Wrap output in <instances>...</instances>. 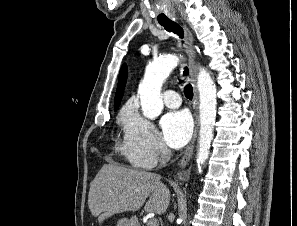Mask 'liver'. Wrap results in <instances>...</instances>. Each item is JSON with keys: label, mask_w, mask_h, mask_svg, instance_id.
<instances>
[{"label": "liver", "mask_w": 297, "mask_h": 226, "mask_svg": "<svg viewBox=\"0 0 297 226\" xmlns=\"http://www.w3.org/2000/svg\"><path fill=\"white\" fill-rule=\"evenodd\" d=\"M157 174L105 164L90 185L88 205L99 224L117 213L137 211L163 214L170 203L169 189Z\"/></svg>", "instance_id": "6515ba94"}]
</instances>
